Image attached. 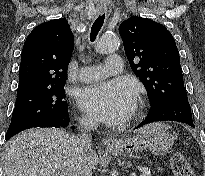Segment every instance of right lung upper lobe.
<instances>
[{"label": "right lung upper lobe", "instance_id": "right-lung-upper-lobe-1", "mask_svg": "<svg viewBox=\"0 0 205 176\" xmlns=\"http://www.w3.org/2000/svg\"><path fill=\"white\" fill-rule=\"evenodd\" d=\"M73 46V33L66 19L35 27L22 49L17 94L65 84Z\"/></svg>", "mask_w": 205, "mask_h": 176}]
</instances>
